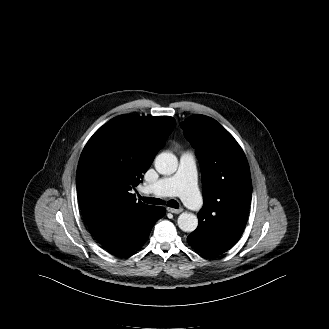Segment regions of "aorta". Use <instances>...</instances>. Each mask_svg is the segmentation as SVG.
I'll return each mask as SVG.
<instances>
[{"mask_svg": "<svg viewBox=\"0 0 329 329\" xmlns=\"http://www.w3.org/2000/svg\"><path fill=\"white\" fill-rule=\"evenodd\" d=\"M178 167L177 157L170 152H162L155 158V169L162 175H171ZM178 227L184 232H193L198 226V218L192 213L183 212L179 215Z\"/></svg>", "mask_w": 329, "mask_h": 329, "instance_id": "obj_1", "label": "aorta"}]
</instances>
